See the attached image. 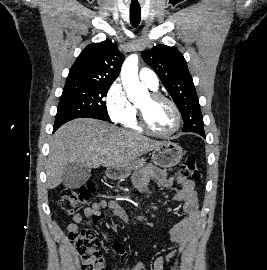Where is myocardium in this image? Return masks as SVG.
<instances>
[{
  "label": "myocardium",
  "mask_w": 267,
  "mask_h": 270,
  "mask_svg": "<svg viewBox=\"0 0 267 270\" xmlns=\"http://www.w3.org/2000/svg\"><path fill=\"white\" fill-rule=\"evenodd\" d=\"M149 96L152 100L164 101L171 106V108L175 114V125H174L173 129L167 133L158 132V131L154 130L148 124L144 110L141 107L137 106V119H138V123H139L140 127L145 132H147L150 135H153L155 137L164 138V139L171 138L179 131V129L181 127L182 117H181V112H180L178 106L176 105V103L173 100H171L170 98H168L167 96H165L161 93L151 92L149 94Z\"/></svg>",
  "instance_id": "myocardium-1"
}]
</instances>
